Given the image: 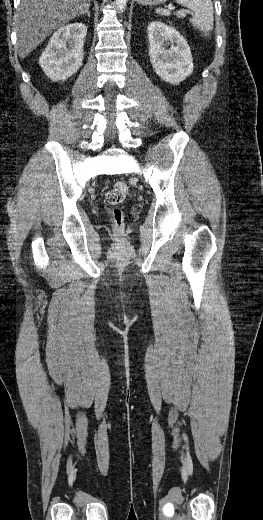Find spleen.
Here are the masks:
<instances>
[{"mask_svg": "<svg viewBox=\"0 0 263 520\" xmlns=\"http://www.w3.org/2000/svg\"><path fill=\"white\" fill-rule=\"evenodd\" d=\"M177 3L191 9L194 14L190 19L192 25L207 36L213 29L214 11L211 0H176ZM156 13L162 16L170 15L167 9L157 8Z\"/></svg>", "mask_w": 263, "mask_h": 520, "instance_id": "3e777b00", "label": "spleen"}]
</instances>
